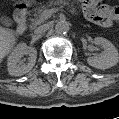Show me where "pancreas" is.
Wrapping results in <instances>:
<instances>
[{
	"mask_svg": "<svg viewBox=\"0 0 119 119\" xmlns=\"http://www.w3.org/2000/svg\"><path fill=\"white\" fill-rule=\"evenodd\" d=\"M68 5L69 2L67 0H55V1H50L47 6L43 5L40 8L33 9L32 12H34L33 14L34 18L30 19L31 20L30 28L34 29L37 25L41 24L45 20L41 17V14L48 7L59 6L60 8H63Z\"/></svg>",
	"mask_w": 119,
	"mask_h": 119,
	"instance_id": "cf45deb5",
	"label": "pancreas"
}]
</instances>
